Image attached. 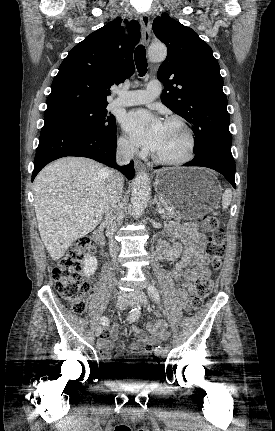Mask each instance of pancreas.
Segmentation results:
<instances>
[{
    "label": "pancreas",
    "instance_id": "cf45deb5",
    "mask_svg": "<svg viewBox=\"0 0 275 431\" xmlns=\"http://www.w3.org/2000/svg\"><path fill=\"white\" fill-rule=\"evenodd\" d=\"M164 219H175L180 220V216L173 210L166 209L165 213L162 214Z\"/></svg>",
    "mask_w": 275,
    "mask_h": 431
}]
</instances>
